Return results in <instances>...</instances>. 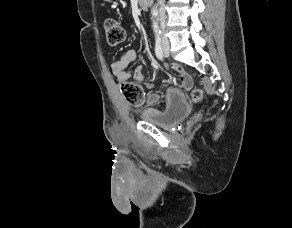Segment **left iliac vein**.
I'll return each instance as SVG.
<instances>
[{
	"label": "left iliac vein",
	"mask_w": 292,
	"mask_h": 228,
	"mask_svg": "<svg viewBox=\"0 0 292 228\" xmlns=\"http://www.w3.org/2000/svg\"><path fill=\"white\" fill-rule=\"evenodd\" d=\"M164 54H165V56H166V57H168V56H169V51H168V48H165V49H164Z\"/></svg>",
	"instance_id": "4c4485c4"
}]
</instances>
